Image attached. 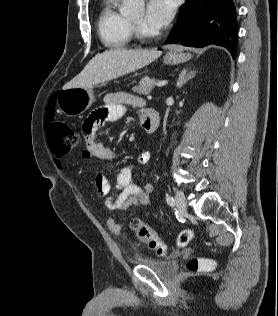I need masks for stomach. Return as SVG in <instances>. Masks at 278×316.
<instances>
[{"label": "stomach", "mask_w": 278, "mask_h": 316, "mask_svg": "<svg viewBox=\"0 0 278 316\" xmlns=\"http://www.w3.org/2000/svg\"><path fill=\"white\" fill-rule=\"evenodd\" d=\"M189 53H168L164 61L167 64H179L191 59ZM95 101L94 88L76 87L63 89L58 94L57 104L59 109L67 116L74 117L86 111Z\"/></svg>", "instance_id": "obj_1"}]
</instances>
